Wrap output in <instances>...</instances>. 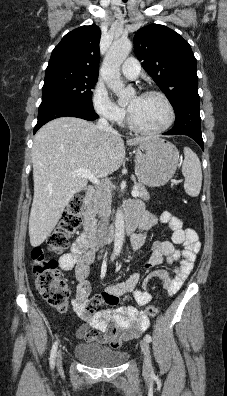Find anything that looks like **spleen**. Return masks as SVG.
<instances>
[{
  "label": "spleen",
  "mask_w": 227,
  "mask_h": 396,
  "mask_svg": "<svg viewBox=\"0 0 227 396\" xmlns=\"http://www.w3.org/2000/svg\"><path fill=\"white\" fill-rule=\"evenodd\" d=\"M182 173L185 177V192L192 197L199 195L202 185V170L198 156L188 147L184 148Z\"/></svg>",
  "instance_id": "obj_1"
}]
</instances>
